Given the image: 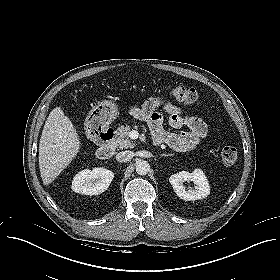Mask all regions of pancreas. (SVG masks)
<instances>
[{"label":"pancreas","instance_id":"pancreas-1","mask_svg":"<svg viewBox=\"0 0 280 280\" xmlns=\"http://www.w3.org/2000/svg\"><path fill=\"white\" fill-rule=\"evenodd\" d=\"M130 126L122 125L115 131V142L121 149L134 148L135 142L129 138Z\"/></svg>","mask_w":280,"mask_h":280}]
</instances>
